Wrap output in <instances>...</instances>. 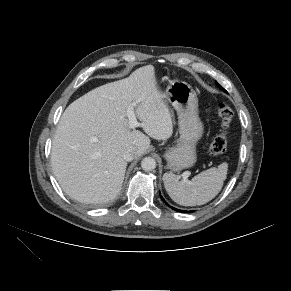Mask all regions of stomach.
Returning a JSON list of instances; mask_svg holds the SVG:
<instances>
[{"mask_svg": "<svg viewBox=\"0 0 291 291\" xmlns=\"http://www.w3.org/2000/svg\"><path fill=\"white\" fill-rule=\"evenodd\" d=\"M162 95L177 111L180 133L177 144L166 150L164 158L171 171L179 172L196 162V144L203 134L198 99L188 83L178 80L170 82Z\"/></svg>", "mask_w": 291, "mask_h": 291, "instance_id": "obj_1", "label": "stomach"}]
</instances>
